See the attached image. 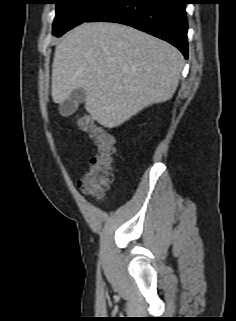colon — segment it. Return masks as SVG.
Listing matches in <instances>:
<instances>
[{"label":"colon","mask_w":236,"mask_h":321,"mask_svg":"<svg viewBox=\"0 0 236 321\" xmlns=\"http://www.w3.org/2000/svg\"><path fill=\"white\" fill-rule=\"evenodd\" d=\"M77 127L89 133L96 147V153L89 160V165L79 181L82 193L93 199H100L113 182L114 140L106 129L89 115L81 116L76 121Z\"/></svg>","instance_id":"obj_1"}]
</instances>
